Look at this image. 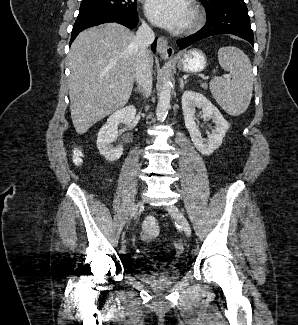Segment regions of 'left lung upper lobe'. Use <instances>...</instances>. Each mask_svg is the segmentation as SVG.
Returning a JSON list of instances; mask_svg holds the SVG:
<instances>
[{
	"label": "left lung upper lobe",
	"instance_id": "left-lung-upper-lobe-1",
	"mask_svg": "<svg viewBox=\"0 0 298 325\" xmlns=\"http://www.w3.org/2000/svg\"><path fill=\"white\" fill-rule=\"evenodd\" d=\"M206 7L207 9H211L217 5H220L224 2H227L229 0H200Z\"/></svg>",
	"mask_w": 298,
	"mask_h": 325
}]
</instances>
